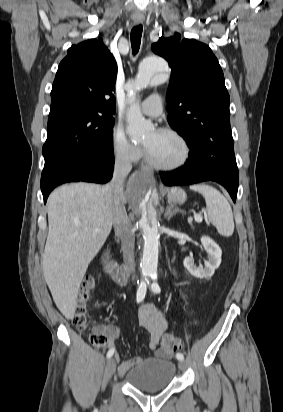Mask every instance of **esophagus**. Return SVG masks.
Returning <instances> with one entry per match:
<instances>
[{
    "label": "esophagus",
    "mask_w": 283,
    "mask_h": 412,
    "mask_svg": "<svg viewBox=\"0 0 283 412\" xmlns=\"http://www.w3.org/2000/svg\"><path fill=\"white\" fill-rule=\"evenodd\" d=\"M134 23H135V24H139V23H141V21L136 20V21H134Z\"/></svg>",
    "instance_id": "esophagus-1"
}]
</instances>
